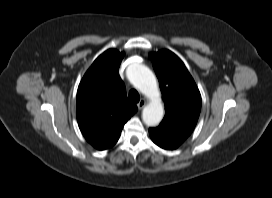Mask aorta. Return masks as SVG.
Wrapping results in <instances>:
<instances>
[{
  "instance_id": "762f6f07",
  "label": "aorta",
  "mask_w": 272,
  "mask_h": 198,
  "mask_svg": "<svg viewBox=\"0 0 272 198\" xmlns=\"http://www.w3.org/2000/svg\"><path fill=\"white\" fill-rule=\"evenodd\" d=\"M127 77L133 86L151 99L142 112V120L147 126L158 125L164 116L156 78L153 72L141 64H132L127 69Z\"/></svg>"
}]
</instances>
